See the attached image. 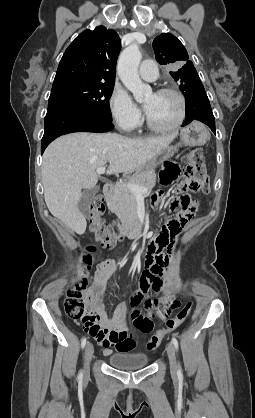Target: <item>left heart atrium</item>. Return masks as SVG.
Listing matches in <instances>:
<instances>
[{
	"label": "left heart atrium",
	"instance_id": "39dd6f15",
	"mask_svg": "<svg viewBox=\"0 0 255 418\" xmlns=\"http://www.w3.org/2000/svg\"><path fill=\"white\" fill-rule=\"evenodd\" d=\"M145 109H146V111H147V109H148V106H146V105H145Z\"/></svg>",
	"mask_w": 255,
	"mask_h": 418
}]
</instances>
